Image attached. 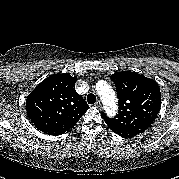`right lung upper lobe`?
<instances>
[{"mask_svg":"<svg viewBox=\"0 0 179 179\" xmlns=\"http://www.w3.org/2000/svg\"><path fill=\"white\" fill-rule=\"evenodd\" d=\"M77 76L54 74L44 79L27 97L26 110L35 127L58 136L73 127L89 109L75 91Z\"/></svg>","mask_w":179,"mask_h":179,"instance_id":"1","label":"right lung upper lobe"}]
</instances>
